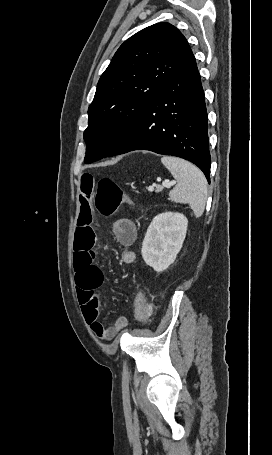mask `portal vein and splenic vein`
<instances>
[{
  "label": "portal vein and splenic vein",
  "mask_w": 272,
  "mask_h": 455,
  "mask_svg": "<svg viewBox=\"0 0 272 455\" xmlns=\"http://www.w3.org/2000/svg\"><path fill=\"white\" fill-rule=\"evenodd\" d=\"M176 182L175 181H171V182H168V181H163L162 182V185L166 188H171L173 185H175Z\"/></svg>",
  "instance_id": "obj_1"
}]
</instances>
